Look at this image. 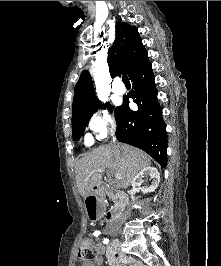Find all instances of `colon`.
<instances>
[{
    "label": "colon",
    "mask_w": 221,
    "mask_h": 266,
    "mask_svg": "<svg viewBox=\"0 0 221 266\" xmlns=\"http://www.w3.org/2000/svg\"><path fill=\"white\" fill-rule=\"evenodd\" d=\"M78 257L84 262H91L97 257V249L90 237L85 236L78 249Z\"/></svg>",
    "instance_id": "obj_1"
}]
</instances>
